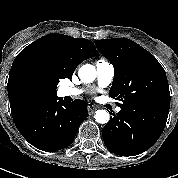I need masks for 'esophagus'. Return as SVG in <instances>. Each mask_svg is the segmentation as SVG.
<instances>
[{"label": "esophagus", "instance_id": "34e87169", "mask_svg": "<svg viewBox=\"0 0 178 178\" xmlns=\"http://www.w3.org/2000/svg\"><path fill=\"white\" fill-rule=\"evenodd\" d=\"M96 109H97L96 106H94V105L91 104V103H88V111H89V114H90V115L93 114Z\"/></svg>", "mask_w": 178, "mask_h": 178}]
</instances>
